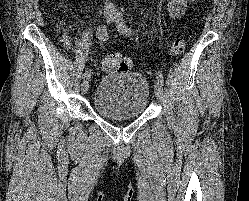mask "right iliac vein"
<instances>
[{
    "instance_id": "1",
    "label": "right iliac vein",
    "mask_w": 249,
    "mask_h": 201,
    "mask_svg": "<svg viewBox=\"0 0 249 201\" xmlns=\"http://www.w3.org/2000/svg\"><path fill=\"white\" fill-rule=\"evenodd\" d=\"M104 13H105V18H106L107 23H111L114 21L115 12L113 9H111L110 7H106ZM88 89H89V80L85 78L81 84L82 93L86 94L88 92Z\"/></svg>"
}]
</instances>
